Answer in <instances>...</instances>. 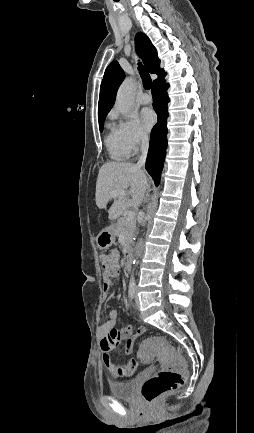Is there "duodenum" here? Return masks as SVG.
<instances>
[{
  "mask_svg": "<svg viewBox=\"0 0 254 433\" xmlns=\"http://www.w3.org/2000/svg\"><path fill=\"white\" fill-rule=\"evenodd\" d=\"M123 268L125 271H130L131 269V250L128 247L124 252Z\"/></svg>",
  "mask_w": 254,
  "mask_h": 433,
  "instance_id": "duodenum-1",
  "label": "duodenum"
}]
</instances>
